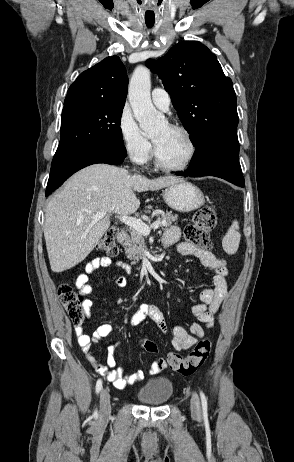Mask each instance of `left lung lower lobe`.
<instances>
[{"mask_svg":"<svg viewBox=\"0 0 294 462\" xmlns=\"http://www.w3.org/2000/svg\"><path fill=\"white\" fill-rule=\"evenodd\" d=\"M237 127L226 128L212 139L196 146L189 168L176 173L179 176H215L244 187V177L238 160Z\"/></svg>","mask_w":294,"mask_h":462,"instance_id":"1","label":"left lung lower lobe"}]
</instances>
